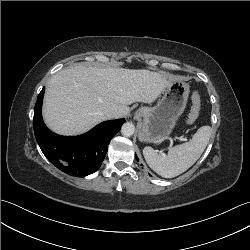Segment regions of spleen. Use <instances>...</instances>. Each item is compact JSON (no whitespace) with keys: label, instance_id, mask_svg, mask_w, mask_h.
<instances>
[{"label":"spleen","instance_id":"spleen-1","mask_svg":"<svg viewBox=\"0 0 250 250\" xmlns=\"http://www.w3.org/2000/svg\"><path fill=\"white\" fill-rule=\"evenodd\" d=\"M212 128L202 126L193 135L189 142L176 145L168 150L167 154H158L153 148L143 149L144 158L149 167L165 178L176 177L189 169L204 152Z\"/></svg>","mask_w":250,"mask_h":250}]
</instances>
